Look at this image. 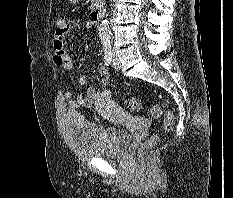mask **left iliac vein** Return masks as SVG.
Masks as SVG:
<instances>
[{"label": "left iliac vein", "instance_id": "4c4485c4", "mask_svg": "<svg viewBox=\"0 0 233 198\" xmlns=\"http://www.w3.org/2000/svg\"><path fill=\"white\" fill-rule=\"evenodd\" d=\"M113 54V61H112V66L115 70H120L121 68V63L119 61V58L117 57L115 51L112 52Z\"/></svg>", "mask_w": 233, "mask_h": 198}]
</instances>
